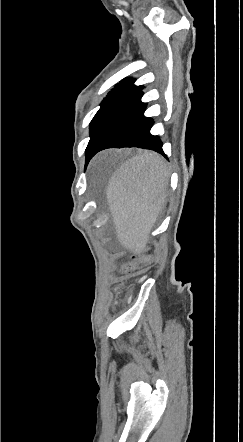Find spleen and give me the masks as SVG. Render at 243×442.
<instances>
[{
	"instance_id": "1",
	"label": "spleen",
	"mask_w": 243,
	"mask_h": 442,
	"mask_svg": "<svg viewBox=\"0 0 243 442\" xmlns=\"http://www.w3.org/2000/svg\"><path fill=\"white\" fill-rule=\"evenodd\" d=\"M162 169L163 162L156 154L143 152L124 163L115 178L107 179V186L115 191L110 195L111 202H116L113 224L122 239L141 240L160 214L157 202H163V193L134 192H163Z\"/></svg>"
}]
</instances>
